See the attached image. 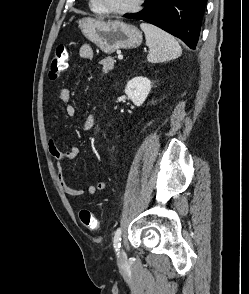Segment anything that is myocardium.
I'll use <instances>...</instances> for the list:
<instances>
[{
    "mask_svg": "<svg viewBox=\"0 0 249 294\" xmlns=\"http://www.w3.org/2000/svg\"><path fill=\"white\" fill-rule=\"evenodd\" d=\"M145 0H135L131 5L122 9H113L105 6L102 0H95L97 5L100 7L103 13L113 14V15H126L137 11L144 3Z\"/></svg>",
    "mask_w": 249,
    "mask_h": 294,
    "instance_id": "obj_1",
    "label": "myocardium"
}]
</instances>
